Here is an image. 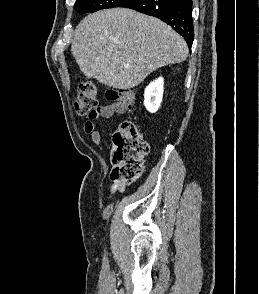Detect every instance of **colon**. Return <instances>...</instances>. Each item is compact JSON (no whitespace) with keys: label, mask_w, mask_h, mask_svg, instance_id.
<instances>
[{"label":"colon","mask_w":259,"mask_h":294,"mask_svg":"<svg viewBox=\"0 0 259 294\" xmlns=\"http://www.w3.org/2000/svg\"><path fill=\"white\" fill-rule=\"evenodd\" d=\"M107 99L132 108L134 92L130 89L108 88ZM98 108L97 87L92 79H84L79 84V92L74 100V109L79 116L93 117ZM111 178L125 184L134 183L142 174L144 159L149 153V144L143 138L136 124L125 120L113 138Z\"/></svg>","instance_id":"colon-1"}]
</instances>
